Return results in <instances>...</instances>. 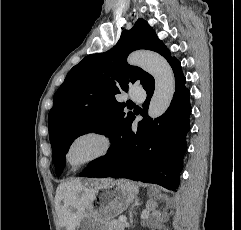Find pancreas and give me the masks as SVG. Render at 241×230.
Wrapping results in <instances>:
<instances>
[{"label":"pancreas","mask_w":241,"mask_h":230,"mask_svg":"<svg viewBox=\"0 0 241 230\" xmlns=\"http://www.w3.org/2000/svg\"><path fill=\"white\" fill-rule=\"evenodd\" d=\"M109 230H124L125 225L119 220H112L108 223Z\"/></svg>","instance_id":"obj_1"}]
</instances>
